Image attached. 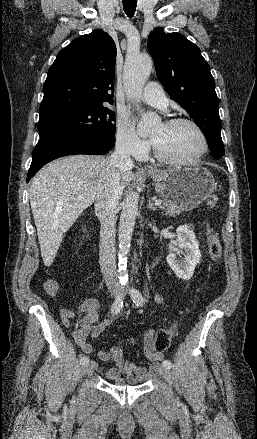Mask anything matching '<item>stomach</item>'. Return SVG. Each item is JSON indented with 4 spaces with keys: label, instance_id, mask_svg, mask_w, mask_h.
<instances>
[{
    "label": "stomach",
    "instance_id": "0dacf381",
    "mask_svg": "<svg viewBox=\"0 0 257 439\" xmlns=\"http://www.w3.org/2000/svg\"><path fill=\"white\" fill-rule=\"evenodd\" d=\"M156 192L181 211H190L206 200L215 189L213 175L204 167L172 168L148 172Z\"/></svg>",
    "mask_w": 257,
    "mask_h": 439
}]
</instances>
